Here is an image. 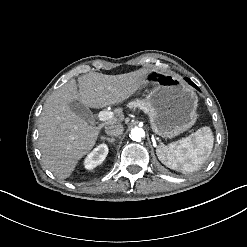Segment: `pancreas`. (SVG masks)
Returning a JSON list of instances; mask_svg holds the SVG:
<instances>
[{"mask_svg": "<svg viewBox=\"0 0 247 247\" xmlns=\"http://www.w3.org/2000/svg\"><path fill=\"white\" fill-rule=\"evenodd\" d=\"M146 107L149 109L145 99H133L125 105V109H139Z\"/></svg>", "mask_w": 247, "mask_h": 247, "instance_id": "obj_1", "label": "pancreas"}]
</instances>
